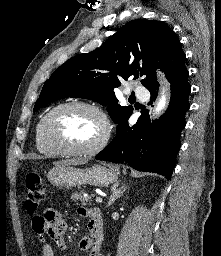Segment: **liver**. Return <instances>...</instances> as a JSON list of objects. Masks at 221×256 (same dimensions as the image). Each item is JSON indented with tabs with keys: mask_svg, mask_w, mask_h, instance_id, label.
<instances>
[{
	"mask_svg": "<svg viewBox=\"0 0 221 256\" xmlns=\"http://www.w3.org/2000/svg\"><path fill=\"white\" fill-rule=\"evenodd\" d=\"M86 163V160H82V159H68V160H62V161H57L54 162L53 164L55 166H59V165H80V164H84Z\"/></svg>",
	"mask_w": 221,
	"mask_h": 256,
	"instance_id": "obj_1",
	"label": "liver"
}]
</instances>
